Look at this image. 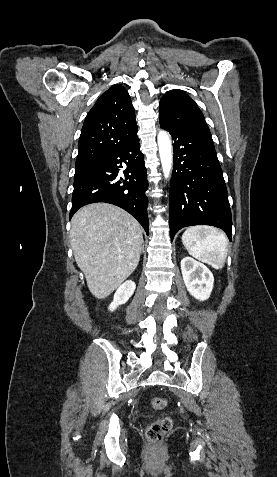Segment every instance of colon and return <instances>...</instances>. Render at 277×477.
<instances>
[{
    "label": "colon",
    "instance_id": "5ec220e1",
    "mask_svg": "<svg viewBox=\"0 0 277 477\" xmlns=\"http://www.w3.org/2000/svg\"><path fill=\"white\" fill-rule=\"evenodd\" d=\"M167 405V400L163 397H155L150 401V406L155 410H161ZM172 427V421L170 418H163L155 421L147 427L145 435L149 443L153 447H157L161 444L164 436Z\"/></svg>",
    "mask_w": 277,
    "mask_h": 477
}]
</instances>
